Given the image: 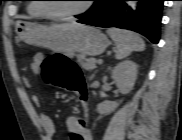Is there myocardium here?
Wrapping results in <instances>:
<instances>
[{
	"mask_svg": "<svg viewBox=\"0 0 182 140\" xmlns=\"http://www.w3.org/2000/svg\"><path fill=\"white\" fill-rule=\"evenodd\" d=\"M43 1H47V0H43ZM91 7L90 2H87L84 4V6L77 10V11H73V12H68V13H59V12H55L50 8V5L47 4H42L40 5V10L43 12L44 16H47L49 18H53V19H70V18H74L77 16H80L84 13H86Z\"/></svg>",
	"mask_w": 182,
	"mask_h": 140,
	"instance_id": "myocardium-1",
	"label": "myocardium"
}]
</instances>
